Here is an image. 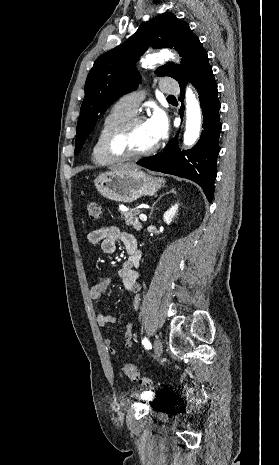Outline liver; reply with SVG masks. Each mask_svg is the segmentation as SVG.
<instances>
[{"label": "liver", "mask_w": 279, "mask_h": 465, "mask_svg": "<svg viewBox=\"0 0 279 465\" xmlns=\"http://www.w3.org/2000/svg\"><path fill=\"white\" fill-rule=\"evenodd\" d=\"M136 168H137V166H135V165L125 164V165L119 166L117 168V170H128V169H136Z\"/></svg>", "instance_id": "6515ba94"}]
</instances>
